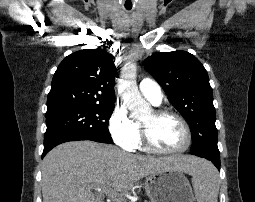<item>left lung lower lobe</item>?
<instances>
[{"instance_id":"0a47b994","label":"left lung lower lobe","mask_w":255,"mask_h":202,"mask_svg":"<svg viewBox=\"0 0 255 202\" xmlns=\"http://www.w3.org/2000/svg\"><path fill=\"white\" fill-rule=\"evenodd\" d=\"M206 159L210 160L218 168V170H220V157L219 158L208 157Z\"/></svg>"}]
</instances>
